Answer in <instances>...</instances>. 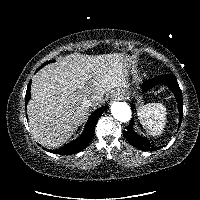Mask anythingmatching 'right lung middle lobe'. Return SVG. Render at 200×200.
I'll return each mask as SVG.
<instances>
[{"label":"right lung middle lobe","instance_id":"1","mask_svg":"<svg viewBox=\"0 0 200 200\" xmlns=\"http://www.w3.org/2000/svg\"><path fill=\"white\" fill-rule=\"evenodd\" d=\"M53 61H54V60H50V61L45 62L44 64L41 65V67H39V68L37 69V71H38L40 68H42L43 66H45L46 64L52 63Z\"/></svg>","mask_w":200,"mask_h":200}]
</instances>
